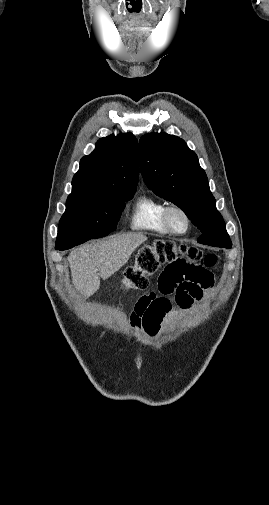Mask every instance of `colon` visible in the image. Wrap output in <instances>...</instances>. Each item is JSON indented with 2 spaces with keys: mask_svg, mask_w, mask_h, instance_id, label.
<instances>
[{
  "mask_svg": "<svg viewBox=\"0 0 269 505\" xmlns=\"http://www.w3.org/2000/svg\"><path fill=\"white\" fill-rule=\"evenodd\" d=\"M170 259H192L204 262L206 268H212L217 262L215 254H203L201 250L171 243L156 242L143 246L137 253L135 264L126 269L123 285L126 289L142 290L148 285V276L154 274L162 264ZM213 282V276H212ZM148 298H150L148 296Z\"/></svg>",
  "mask_w": 269,
  "mask_h": 505,
  "instance_id": "1",
  "label": "colon"
}]
</instances>
